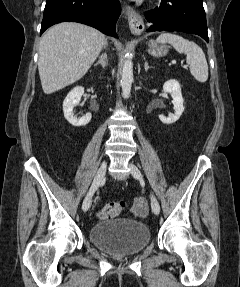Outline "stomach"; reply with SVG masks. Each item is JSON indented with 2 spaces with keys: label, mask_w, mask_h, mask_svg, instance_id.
<instances>
[{
  "label": "stomach",
  "mask_w": 240,
  "mask_h": 287,
  "mask_svg": "<svg viewBox=\"0 0 240 287\" xmlns=\"http://www.w3.org/2000/svg\"><path fill=\"white\" fill-rule=\"evenodd\" d=\"M149 50L148 52L153 55V56H156V57H161L163 55H166L167 52H168V46L166 45H160L158 44L157 42L155 41H151L149 44Z\"/></svg>",
  "instance_id": "obj_1"
}]
</instances>
